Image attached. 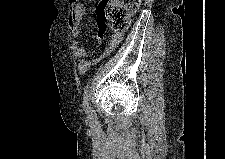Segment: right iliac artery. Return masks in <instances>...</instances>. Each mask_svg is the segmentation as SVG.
I'll return each mask as SVG.
<instances>
[{
	"instance_id": "1",
	"label": "right iliac artery",
	"mask_w": 225,
	"mask_h": 159,
	"mask_svg": "<svg viewBox=\"0 0 225 159\" xmlns=\"http://www.w3.org/2000/svg\"><path fill=\"white\" fill-rule=\"evenodd\" d=\"M83 106H84V109H85V112L86 113H91L92 112V109H91V106H90V103H89V98H88V93L85 92V95H84V101H83Z\"/></svg>"
}]
</instances>
